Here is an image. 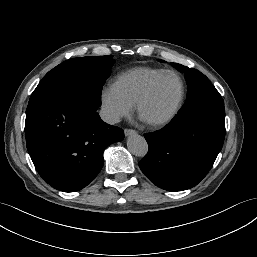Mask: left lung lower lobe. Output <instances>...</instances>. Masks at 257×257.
Wrapping results in <instances>:
<instances>
[{"label":"left lung lower lobe","instance_id":"obj_1","mask_svg":"<svg viewBox=\"0 0 257 257\" xmlns=\"http://www.w3.org/2000/svg\"><path fill=\"white\" fill-rule=\"evenodd\" d=\"M144 137L149 150L139 162L142 172L162 189H189L206 176L222 148L224 101L180 110L169 125Z\"/></svg>","mask_w":257,"mask_h":257}]
</instances>
